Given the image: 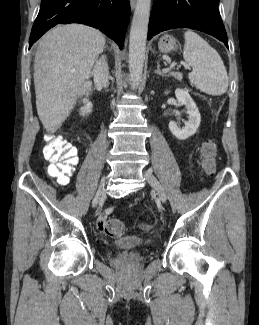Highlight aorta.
Returning <instances> with one entry per match:
<instances>
[{
  "label": "aorta",
  "instance_id": "1",
  "mask_svg": "<svg viewBox=\"0 0 259 325\" xmlns=\"http://www.w3.org/2000/svg\"><path fill=\"white\" fill-rule=\"evenodd\" d=\"M151 0H137L129 39V75L133 89L142 79Z\"/></svg>",
  "mask_w": 259,
  "mask_h": 325
}]
</instances>
